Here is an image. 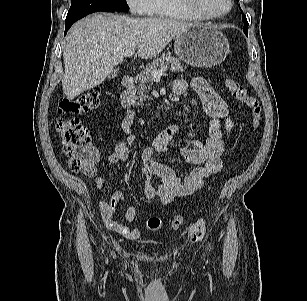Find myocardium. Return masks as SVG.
<instances>
[{"label": "myocardium", "instance_id": "f54148a6", "mask_svg": "<svg viewBox=\"0 0 307 301\" xmlns=\"http://www.w3.org/2000/svg\"><path fill=\"white\" fill-rule=\"evenodd\" d=\"M180 5L189 13L192 15L206 19V20H213V19H219L222 18L226 15H228L231 10L233 9L234 6V1L233 0H228L229 6L228 8L221 12V13H214L203 6L199 3L198 0H178Z\"/></svg>", "mask_w": 307, "mask_h": 301}]
</instances>
